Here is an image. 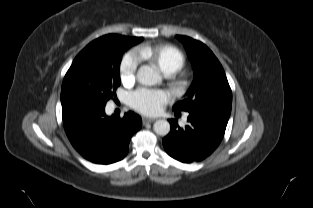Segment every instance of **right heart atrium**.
<instances>
[{"label": "right heart atrium", "mask_w": 313, "mask_h": 208, "mask_svg": "<svg viewBox=\"0 0 313 208\" xmlns=\"http://www.w3.org/2000/svg\"><path fill=\"white\" fill-rule=\"evenodd\" d=\"M139 61L138 55L134 52H130L123 57L119 68L120 78L123 83L130 84L134 82Z\"/></svg>", "instance_id": "d8ad5b80"}]
</instances>
